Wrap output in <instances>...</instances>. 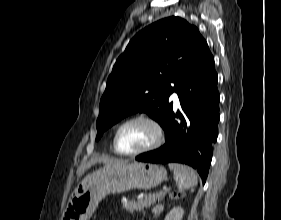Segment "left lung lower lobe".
I'll use <instances>...</instances> for the list:
<instances>
[{"label":"left lung lower lobe","mask_w":281,"mask_h":220,"mask_svg":"<svg viewBox=\"0 0 281 220\" xmlns=\"http://www.w3.org/2000/svg\"><path fill=\"white\" fill-rule=\"evenodd\" d=\"M175 92L185 118L172 110L163 127L166 143L141 154L137 161L179 162L195 168L206 181L218 136L219 92L214 57L208 49L190 67ZM179 118L176 121L174 117Z\"/></svg>","instance_id":"1"}]
</instances>
